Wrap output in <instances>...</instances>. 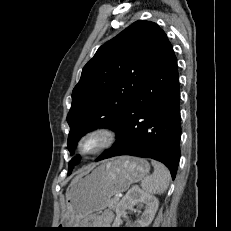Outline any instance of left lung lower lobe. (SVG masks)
I'll list each match as a JSON object with an SVG mask.
<instances>
[{
  "mask_svg": "<svg viewBox=\"0 0 231 231\" xmlns=\"http://www.w3.org/2000/svg\"><path fill=\"white\" fill-rule=\"evenodd\" d=\"M179 100L177 59L167 38L114 129L116 142L95 161L120 155L152 158L165 164L174 179L180 158Z\"/></svg>",
  "mask_w": 231,
  "mask_h": 231,
  "instance_id": "1",
  "label": "left lung lower lobe"
}]
</instances>
